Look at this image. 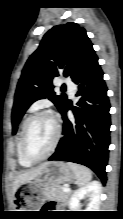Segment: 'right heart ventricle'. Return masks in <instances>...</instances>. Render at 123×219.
I'll use <instances>...</instances> for the list:
<instances>
[{
	"label": "right heart ventricle",
	"instance_id": "1",
	"mask_svg": "<svg viewBox=\"0 0 123 219\" xmlns=\"http://www.w3.org/2000/svg\"><path fill=\"white\" fill-rule=\"evenodd\" d=\"M24 124H25V121L22 122L21 127H20V131H19L17 139H16V153H17V159H18L19 164L22 167H30V166H32L33 163H30L24 159V157L22 156V153H21V148H20V139H21Z\"/></svg>",
	"mask_w": 123,
	"mask_h": 219
}]
</instances>
